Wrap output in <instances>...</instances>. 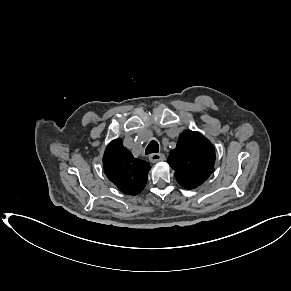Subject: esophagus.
Instances as JSON below:
<instances>
[{
  "label": "esophagus",
  "mask_w": 291,
  "mask_h": 291,
  "mask_svg": "<svg viewBox=\"0 0 291 291\" xmlns=\"http://www.w3.org/2000/svg\"><path fill=\"white\" fill-rule=\"evenodd\" d=\"M149 160H150L152 163H157V162H160V161H164V160H165V155L162 154V153H152V154L149 156Z\"/></svg>",
  "instance_id": "esophagus-1"
}]
</instances>
